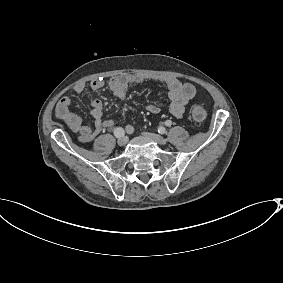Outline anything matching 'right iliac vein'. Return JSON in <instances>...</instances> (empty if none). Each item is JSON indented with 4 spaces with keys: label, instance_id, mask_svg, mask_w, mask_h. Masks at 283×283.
Instances as JSON below:
<instances>
[{
    "label": "right iliac vein",
    "instance_id": "obj_1",
    "mask_svg": "<svg viewBox=\"0 0 283 283\" xmlns=\"http://www.w3.org/2000/svg\"><path fill=\"white\" fill-rule=\"evenodd\" d=\"M127 141H128L127 137L123 136L118 139L117 143L119 146H125Z\"/></svg>",
    "mask_w": 283,
    "mask_h": 283
}]
</instances>
